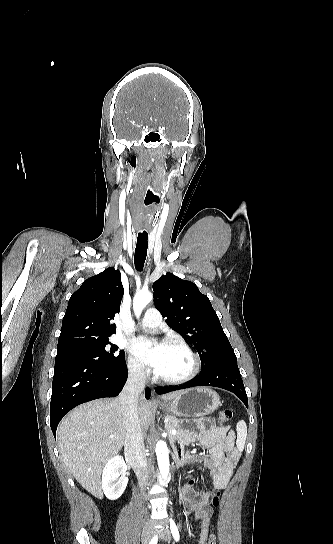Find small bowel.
I'll list each match as a JSON object with an SVG mask.
<instances>
[{"label": "small bowel", "mask_w": 333, "mask_h": 544, "mask_svg": "<svg viewBox=\"0 0 333 544\" xmlns=\"http://www.w3.org/2000/svg\"><path fill=\"white\" fill-rule=\"evenodd\" d=\"M194 428L187 429L175 442L176 452L182 462L200 465L208 471L211 484L215 490L225 488L240 459V450L235 445V433L227 427L218 428L211 418H200L192 422ZM197 443L204 451L191 454L184 452V446ZM213 493L208 490L197 491L195 481L187 477L183 488V500L188 513L200 521V544H205L213 508L209 501Z\"/></svg>", "instance_id": "c3829d8e"}]
</instances>
